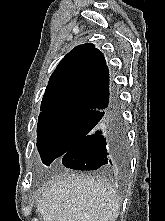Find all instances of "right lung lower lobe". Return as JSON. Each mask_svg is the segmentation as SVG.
<instances>
[{
    "label": "right lung lower lobe",
    "mask_w": 165,
    "mask_h": 221,
    "mask_svg": "<svg viewBox=\"0 0 165 221\" xmlns=\"http://www.w3.org/2000/svg\"><path fill=\"white\" fill-rule=\"evenodd\" d=\"M100 116L101 120L92 131L63 155L65 167L75 170L102 168L116 172L124 169L126 140L117 96L112 97L105 111H100Z\"/></svg>",
    "instance_id": "98d812e1"
}]
</instances>
